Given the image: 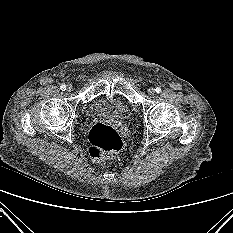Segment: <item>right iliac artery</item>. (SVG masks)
Instances as JSON below:
<instances>
[{
    "mask_svg": "<svg viewBox=\"0 0 233 233\" xmlns=\"http://www.w3.org/2000/svg\"><path fill=\"white\" fill-rule=\"evenodd\" d=\"M60 89H61L62 91H65V90H66V85L62 84V85L60 86Z\"/></svg>",
    "mask_w": 233,
    "mask_h": 233,
    "instance_id": "right-iliac-artery-1",
    "label": "right iliac artery"
}]
</instances>
